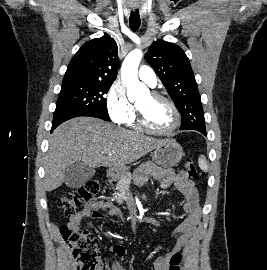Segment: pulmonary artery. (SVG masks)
<instances>
[{
    "instance_id": "1",
    "label": "pulmonary artery",
    "mask_w": 267,
    "mask_h": 270,
    "mask_svg": "<svg viewBox=\"0 0 267 270\" xmlns=\"http://www.w3.org/2000/svg\"><path fill=\"white\" fill-rule=\"evenodd\" d=\"M138 76L143 82H145L149 86L151 87L156 86L157 83L156 74L153 71V69L150 68L149 66L146 65L141 66L138 71Z\"/></svg>"
}]
</instances>
